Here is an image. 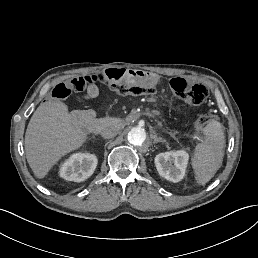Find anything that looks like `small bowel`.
Instances as JSON below:
<instances>
[{
  "label": "small bowel",
  "instance_id": "c3829d8e",
  "mask_svg": "<svg viewBox=\"0 0 258 258\" xmlns=\"http://www.w3.org/2000/svg\"><path fill=\"white\" fill-rule=\"evenodd\" d=\"M96 93V89L94 87H91L87 93L88 97H93Z\"/></svg>",
  "mask_w": 258,
  "mask_h": 258
}]
</instances>
